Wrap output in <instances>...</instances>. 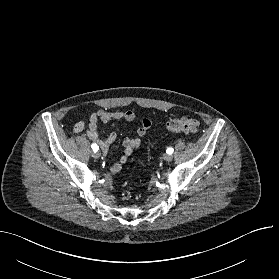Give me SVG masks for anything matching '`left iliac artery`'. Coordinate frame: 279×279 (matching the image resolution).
<instances>
[{"label": "left iliac artery", "instance_id": "1", "mask_svg": "<svg viewBox=\"0 0 279 279\" xmlns=\"http://www.w3.org/2000/svg\"><path fill=\"white\" fill-rule=\"evenodd\" d=\"M173 148H171V147H169L167 150H166V152L168 153V154H172L173 153Z\"/></svg>", "mask_w": 279, "mask_h": 279}]
</instances>
